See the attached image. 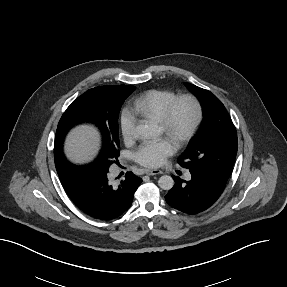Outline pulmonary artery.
Segmentation results:
<instances>
[{"label": "pulmonary artery", "mask_w": 287, "mask_h": 287, "mask_svg": "<svg viewBox=\"0 0 287 287\" xmlns=\"http://www.w3.org/2000/svg\"><path fill=\"white\" fill-rule=\"evenodd\" d=\"M185 178H186L187 180H190V179H191V174H190L189 172H187V173L185 174Z\"/></svg>", "instance_id": "1"}]
</instances>
